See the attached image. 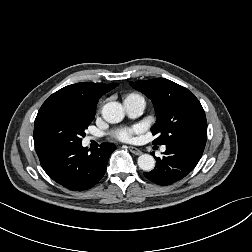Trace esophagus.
<instances>
[{
    "mask_svg": "<svg viewBox=\"0 0 252 252\" xmlns=\"http://www.w3.org/2000/svg\"><path fill=\"white\" fill-rule=\"evenodd\" d=\"M128 149L130 150L131 153L135 154V155H141L142 151H140L138 148L133 147V146H129Z\"/></svg>",
    "mask_w": 252,
    "mask_h": 252,
    "instance_id": "34e87169",
    "label": "esophagus"
}]
</instances>
